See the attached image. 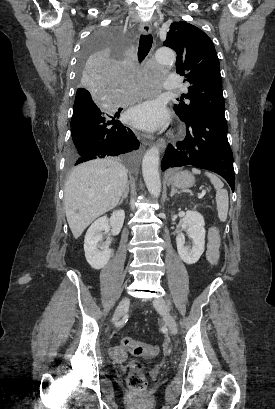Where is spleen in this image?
Segmentation results:
<instances>
[{"label":"spleen","instance_id":"1","mask_svg":"<svg viewBox=\"0 0 275 409\" xmlns=\"http://www.w3.org/2000/svg\"><path fill=\"white\" fill-rule=\"evenodd\" d=\"M192 172L194 174H200L201 170H198V168H192ZM206 176H209L212 184H214V188H216V205H217V211H218V217L220 221H226L227 219V213H228V207H229V198H228V192L226 188H223L224 184L216 174H212V172H205Z\"/></svg>","mask_w":275,"mask_h":409}]
</instances>
